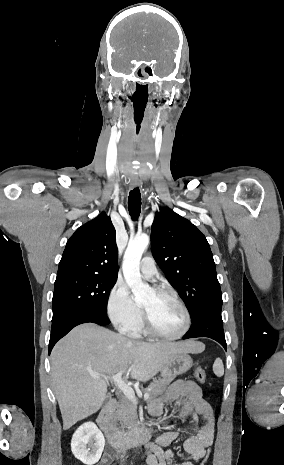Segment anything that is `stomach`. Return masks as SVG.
I'll return each instance as SVG.
<instances>
[{
    "instance_id": "obj_1",
    "label": "stomach",
    "mask_w": 284,
    "mask_h": 465,
    "mask_svg": "<svg viewBox=\"0 0 284 465\" xmlns=\"http://www.w3.org/2000/svg\"><path fill=\"white\" fill-rule=\"evenodd\" d=\"M193 365V361L188 353H177L173 355L170 361L166 363L165 367H162V375H180V373H186Z\"/></svg>"
}]
</instances>
